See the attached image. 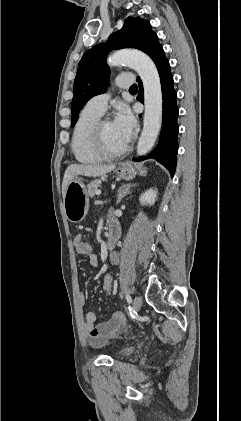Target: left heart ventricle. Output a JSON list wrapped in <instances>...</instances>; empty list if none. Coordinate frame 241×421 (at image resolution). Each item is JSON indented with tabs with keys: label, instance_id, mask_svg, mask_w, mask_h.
Instances as JSON below:
<instances>
[{
	"label": "left heart ventricle",
	"instance_id": "obj_1",
	"mask_svg": "<svg viewBox=\"0 0 241 421\" xmlns=\"http://www.w3.org/2000/svg\"><path fill=\"white\" fill-rule=\"evenodd\" d=\"M103 133L105 145L109 150L118 151L126 146L127 142L115 128L112 121H107L104 124Z\"/></svg>",
	"mask_w": 241,
	"mask_h": 421
}]
</instances>
